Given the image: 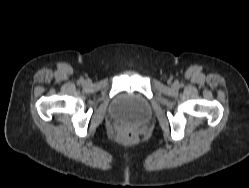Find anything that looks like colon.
<instances>
[{
    "label": "colon",
    "instance_id": "1",
    "mask_svg": "<svg viewBox=\"0 0 249 188\" xmlns=\"http://www.w3.org/2000/svg\"><path fill=\"white\" fill-rule=\"evenodd\" d=\"M136 135L131 130H125L121 134V139L125 143H132L135 141Z\"/></svg>",
    "mask_w": 249,
    "mask_h": 188
}]
</instances>
